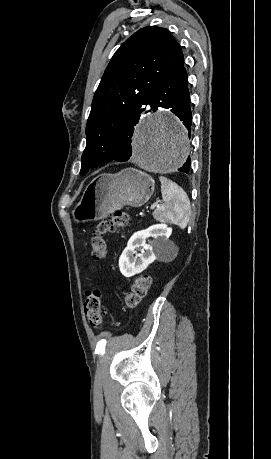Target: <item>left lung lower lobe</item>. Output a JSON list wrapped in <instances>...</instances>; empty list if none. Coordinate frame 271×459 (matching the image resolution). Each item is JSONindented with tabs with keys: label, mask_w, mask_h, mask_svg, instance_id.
<instances>
[{
	"label": "left lung lower lobe",
	"mask_w": 271,
	"mask_h": 459,
	"mask_svg": "<svg viewBox=\"0 0 271 459\" xmlns=\"http://www.w3.org/2000/svg\"><path fill=\"white\" fill-rule=\"evenodd\" d=\"M146 104L151 107V109L147 112L156 111L158 107L166 108L172 111L181 121H183V124L188 129L190 136L192 113L190 110V93L188 90L187 71L184 66L155 87L148 95ZM138 121L139 120H136L126 129L122 135L123 149L111 161L124 162L129 160L132 155L131 138L134 126L138 123ZM190 165L191 161L188 158L186 163L179 168L178 171L188 173Z\"/></svg>",
	"instance_id": "0a47b994"
}]
</instances>
